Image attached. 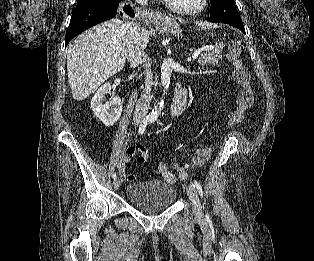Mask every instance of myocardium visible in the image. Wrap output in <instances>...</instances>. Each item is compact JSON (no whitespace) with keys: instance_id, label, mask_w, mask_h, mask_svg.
<instances>
[{"instance_id":"1","label":"myocardium","mask_w":314,"mask_h":261,"mask_svg":"<svg viewBox=\"0 0 314 261\" xmlns=\"http://www.w3.org/2000/svg\"><path fill=\"white\" fill-rule=\"evenodd\" d=\"M166 7L173 11L174 13H177L179 15H184V16H193L201 13L203 10L206 9L208 5V0H199L198 3L194 7L190 8H185V7H180L175 4H173L170 1L164 0Z\"/></svg>"}]
</instances>
